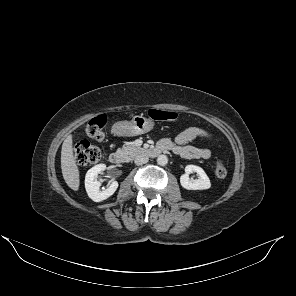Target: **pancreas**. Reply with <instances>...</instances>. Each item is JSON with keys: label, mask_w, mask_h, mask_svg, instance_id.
<instances>
[{"label": "pancreas", "mask_w": 296, "mask_h": 296, "mask_svg": "<svg viewBox=\"0 0 296 296\" xmlns=\"http://www.w3.org/2000/svg\"><path fill=\"white\" fill-rule=\"evenodd\" d=\"M144 149L142 147H137L134 144H129L127 146L118 149V152L123 154L127 159H131L132 157L136 156L139 153H142Z\"/></svg>", "instance_id": "pancreas-1"}]
</instances>
